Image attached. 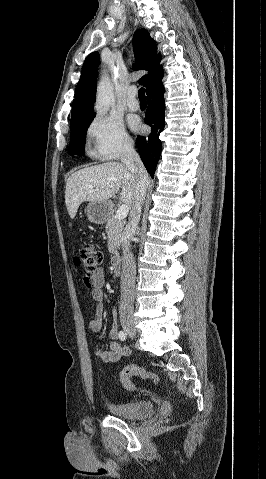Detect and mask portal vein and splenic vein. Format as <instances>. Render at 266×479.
Returning <instances> with one entry per match:
<instances>
[{
    "mask_svg": "<svg viewBox=\"0 0 266 479\" xmlns=\"http://www.w3.org/2000/svg\"><path fill=\"white\" fill-rule=\"evenodd\" d=\"M128 212H129V207L123 204L118 208L116 212V218H118L119 220H123L128 215Z\"/></svg>",
    "mask_w": 266,
    "mask_h": 479,
    "instance_id": "obj_1",
    "label": "portal vein and splenic vein"
}]
</instances>
